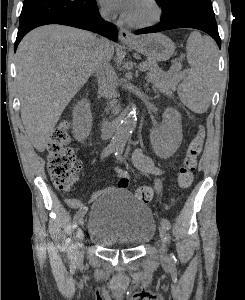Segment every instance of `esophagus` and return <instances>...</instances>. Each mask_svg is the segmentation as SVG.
<instances>
[{"label":"esophagus","mask_w":245,"mask_h":300,"mask_svg":"<svg viewBox=\"0 0 245 300\" xmlns=\"http://www.w3.org/2000/svg\"><path fill=\"white\" fill-rule=\"evenodd\" d=\"M121 42H131L135 40V36L126 28H120L118 34Z\"/></svg>","instance_id":"34e87169"}]
</instances>
